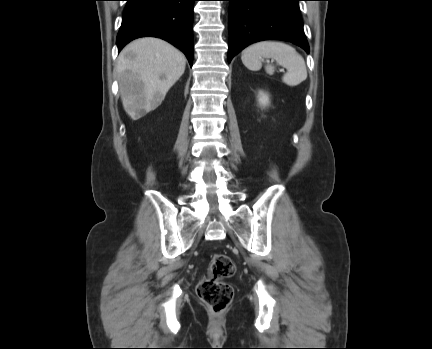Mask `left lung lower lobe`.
I'll return each instance as SVG.
<instances>
[{
	"label": "left lung lower lobe",
	"instance_id": "left-lung-lower-lobe-1",
	"mask_svg": "<svg viewBox=\"0 0 432 349\" xmlns=\"http://www.w3.org/2000/svg\"><path fill=\"white\" fill-rule=\"evenodd\" d=\"M229 7L228 62L248 45L262 40H284L309 52L300 0H227Z\"/></svg>",
	"mask_w": 432,
	"mask_h": 349
}]
</instances>
